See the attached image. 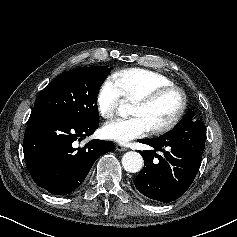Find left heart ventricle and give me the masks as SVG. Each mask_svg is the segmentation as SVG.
Wrapping results in <instances>:
<instances>
[{"label": "left heart ventricle", "instance_id": "b2bd125f", "mask_svg": "<svg viewBox=\"0 0 237 237\" xmlns=\"http://www.w3.org/2000/svg\"><path fill=\"white\" fill-rule=\"evenodd\" d=\"M179 105V95L174 92L167 93L148 105L134 103L131 115L142 117L151 129L170 121L176 114Z\"/></svg>", "mask_w": 237, "mask_h": 237}]
</instances>
